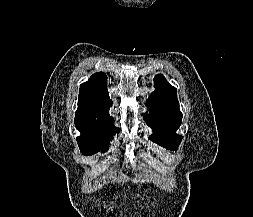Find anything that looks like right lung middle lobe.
Listing matches in <instances>:
<instances>
[{
    "label": "right lung middle lobe",
    "instance_id": "right-lung-middle-lobe-1",
    "mask_svg": "<svg viewBox=\"0 0 253 217\" xmlns=\"http://www.w3.org/2000/svg\"><path fill=\"white\" fill-rule=\"evenodd\" d=\"M75 126L81 135L77 137V143L82 154L88 156L98 151L108 149L113 135L119 132L113 122H93L75 119Z\"/></svg>",
    "mask_w": 253,
    "mask_h": 217
}]
</instances>
